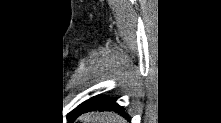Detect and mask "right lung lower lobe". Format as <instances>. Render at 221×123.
<instances>
[{
  "label": "right lung lower lobe",
  "instance_id": "1",
  "mask_svg": "<svg viewBox=\"0 0 221 123\" xmlns=\"http://www.w3.org/2000/svg\"><path fill=\"white\" fill-rule=\"evenodd\" d=\"M93 110H99V111L110 110L111 111V110H123V108L120 107L118 104H116L115 101L112 99L100 98L96 96L92 99L91 103L82 110L80 114L84 112H88V111H93ZM122 116H125V115L122 114ZM76 117L77 116L70 117V119L72 120ZM126 118L129 119V117L127 116Z\"/></svg>",
  "mask_w": 221,
  "mask_h": 123
}]
</instances>
